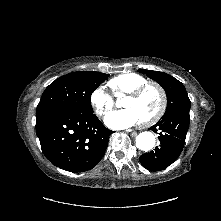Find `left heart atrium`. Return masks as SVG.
Returning <instances> with one entry per match:
<instances>
[{
  "mask_svg": "<svg viewBox=\"0 0 221 221\" xmlns=\"http://www.w3.org/2000/svg\"><path fill=\"white\" fill-rule=\"evenodd\" d=\"M140 121L137 114L131 109H123L111 112L105 117V123L111 128H128L138 124Z\"/></svg>",
  "mask_w": 221,
  "mask_h": 221,
  "instance_id": "left-heart-atrium-1",
  "label": "left heart atrium"
}]
</instances>
